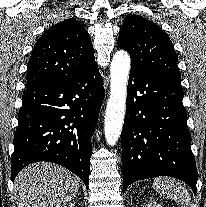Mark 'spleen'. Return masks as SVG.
I'll return each mask as SVG.
<instances>
[{
    "mask_svg": "<svg viewBox=\"0 0 206 207\" xmlns=\"http://www.w3.org/2000/svg\"><path fill=\"white\" fill-rule=\"evenodd\" d=\"M154 189L160 195L180 203L187 207L190 202V194L186 187L179 181L171 178H157L154 180Z\"/></svg>",
    "mask_w": 206,
    "mask_h": 207,
    "instance_id": "1",
    "label": "spleen"
}]
</instances>
